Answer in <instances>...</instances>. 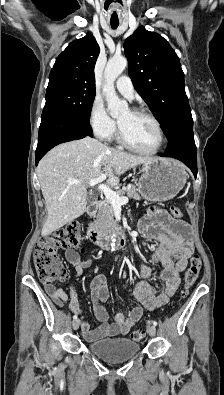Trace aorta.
I'll return each instance as SVG.
<instances>
[{"mask_svg":"<svg viewBox=\"0 0 224 395\" xmlns=\"http://www.w3.org/2000/svg\"><path fill=\"white\" fill-rule=\"evenodd\" d=\"M127 67V59L125 57H113L107 62L104 78L105 84L103 86V94L107 101V107L112 117H118L120 114L128 111V104L126 101H122L116 94L114 88V82L118 76ZM115 235L112 236V249L115 247Z\"/></svg>","mask_w":224,"mask_h":395,"instance_id":"762f6f07","label":"aorta"}]
</instances>
